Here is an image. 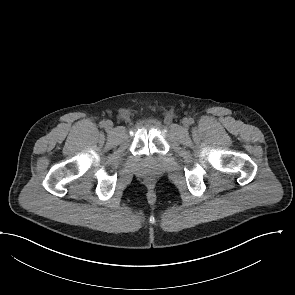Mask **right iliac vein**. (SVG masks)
Instances as JSON below:
<instances>
[{"instance_id": "63e3f726", "label": "right iliac vein", "mask_w": 295, "mask_h": 295, "mask_svg": "<svg viewBox=\"0 0 295 295\" xmlns=\"http://www.w3.org/2000/svg\"><path fill=\"white\" fill-rule=\"evenodd\" d=\"M105 128H106L107 130H111V129L113 128V122L110 121V120H107V121L105 122Z\"/></svg>"}]
</instances>
